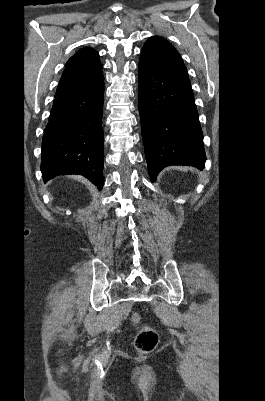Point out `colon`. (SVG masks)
Wrapping results in <instances>:
<instances>
[{
  "mask_svg": "<svg viewBox=\"0 0 265 401\" xmlns=\"http://www.w3.org/2000/svg\"><path fill=\"white\" fill-rule=\"evenodd\" d=\"M130 320L133 326L138 327L141 323V315L135 312L131 315ZM158 340L156 330L149 326H142L136 334L134 348L138 353L147 354L156 348Z\"/></svg>",
  "mask_w": 265,
  "mask_h": 401,
  "instance_id": "5ec220e1",
  "label": "colon"
}]
</instances>
